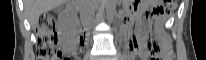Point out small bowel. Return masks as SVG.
<instances>
[{
  "label": "small bowel",
  "mask_w": 206,
  "mask_h": 60,
  "mask_svg": "<svg viewBox=\"0 0 206 60\" xmlns=\"http://www.w3.org/2000/svg\"><path fill=\"white\" fill-rule=\"evenodd\" d=\"M129 55L133 59L136 55H144V48L140 42L136 39L131 38L128 44Z\"/></svg>",
  "instance_id": "1"
}]
</instances>
